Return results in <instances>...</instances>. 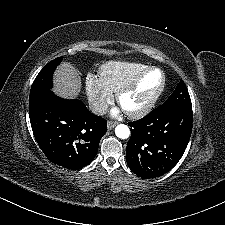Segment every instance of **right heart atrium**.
I'll use <instances>...</instances> for the list:
<instances>
[{
    "instance_id": "right-heart-atrium-1",
    "label": "right heart atrium",
    "mask_w": 225,
    "mask_h": 225,
    "mask_svg": "<svg viewBox=\"0 0 225 225\" xmlns=\"http://www.w3.org/2000/svg\"><path fill=\"white\" fill-rule=\"evenodd\" d=\"M84 84L87 96L97 110H101L112 100V92L104 84L101 78L88 74L85 78Z\"/></svg>"
}]
</instances>
